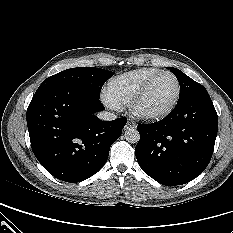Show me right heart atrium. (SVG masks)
I'll use <instances>...</instances> for the list:
<instances>
[{
	"mask_svg": "<svg viewBox=\"0 0 233 233\" xmlns=\"http://www.w3.org/2000/svg\"><path fill=\"white\" fill-rule=\"evenodd\" d=\"M102 99L105 102V104L113 109L119 108L120 104H118L110 95L107 91H104L102 94Z\"/></svg>",
	"mask_w": 233,
	"mask_h": 233,
	"instance_id": "right-heart-atrium-1",
	"label": "right heart atrium"
}]
</instances>
